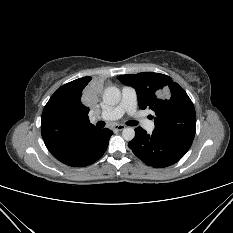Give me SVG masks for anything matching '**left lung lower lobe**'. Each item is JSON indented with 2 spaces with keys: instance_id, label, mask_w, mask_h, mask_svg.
<instances>
[{
  "instance_id": "0a47b994",
  "label": "left lung lower lobe",
  "mask_w": 233,
  "mask_h": 233,
  "mask_svg": "<svg viewBox=\"0 0 233 233\" xmlns=\"http://www.w3.org/2000/svg\"><path fill=\"white\" fill-rule=\"evenodd\" d=\"M192 141L162 137L153 132L151 135L138 127L135 137L129 142L133 153L148 166L164 168L178 162L189 150Z\"/></svg>"
}]
</instances>
